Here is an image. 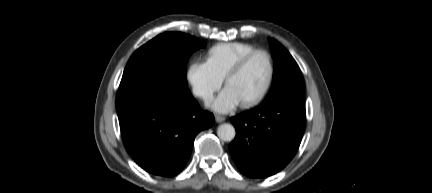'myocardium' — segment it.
I'll return each mask as SVG.
<instances>
[{"label":"myocardium","mask_w":432,"mask_h":193,"mask_svg":"<svg viewBox=\"0 0 432 193\" xmlns=\"http://www.w3.org/2000/svg\"><path fill=\"white\" fill-rule=\"evenodd\" d=\"M258 54H263L267 57L268 59V64H269V76L267 79V82L264 86V88L262 89V91L253 99L243 102L241 103V106L243 108H252L257 106L258 104H260L269 94L273 82H274V78H275V62H274V58L273 55L271 54V52L265 48H256L253 51L249 52L247 55H245L243 58H241L227 73L226 77H225V86L227 87L230 83V81L239 73L241 72L246 65Z\"/></svg>","instance_id":"obj_1"}]
</instances>
